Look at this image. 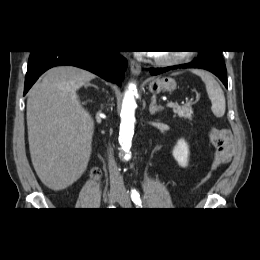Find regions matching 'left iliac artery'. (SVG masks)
Returning a JSON list of instances; mask_svg holds the SVG:
<instances>
[{"label":"left iliac artery","mask_w":260,"mask_h":260,"mask_svg":"<svg viewBox=\"0 0 260 260\" xmlns=\"http://www.w3.org/2000/svg\"><path fill=\"white\" fill-rule=\"evenodd\" d=\"M131 199L132 201L137 204V205H141V198H140V194L138 191H136L135 189H133L131 191Z\"/></svg>","instance_id":"obj_1"}]
</instances>
